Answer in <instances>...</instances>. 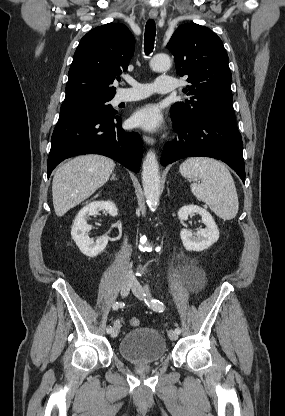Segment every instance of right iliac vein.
<instances>
[{"label": "right iliac vein", "mask_w": 285, "mask_h": 416, "mask_svg": "<svg viewBox=\"0 0 285 416\" xmlns=\"http://www.w3.org/2000/svg\"><path fill=\"white\" fill-rule=\"evenodd\" d=\"M134 282L130 279H127L125 281L122 282L121 284V296L122 297H126L131 289V287L133 286ZM119 330H120V322L116 321L113 325L112 331L111 333V337L114 338L119 334Z\"/></svg>", "instance_id": "right-iliac-vein-1"}]
</instances>
